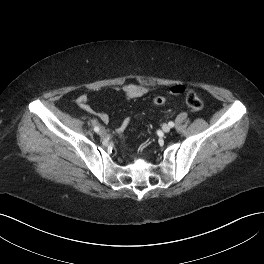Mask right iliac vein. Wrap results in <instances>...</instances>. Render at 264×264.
Returning <instances> with one entry per match:
<instances>
[{
  "label": "right iliac vein",
  "mask_w": 264,
  "mask_h": 264,
  "mask_svg": "<svg viewBox=\"0 0 264 264\" xmlns=\"http://www.w3.org/2000/svg\"><path fill=\"white\" fill-rule=\"evenodd\" d=\"M106 133H107L106 130L103 129V128H101V130H100V134L104 136V135H106Z\"/></svg>",
  "instance_id": "obj_1"
}]
</instances>
